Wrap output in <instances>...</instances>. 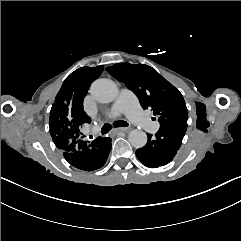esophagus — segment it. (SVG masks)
<instances>
[{"label":"esophagus","instance_id":"1","mask_svg":"<svg viewBox=\"0 0 241 241\" xmlns=\"http://www.w3.org/2000/svg\"><path fill=\"white\" fill-rule=\"evenodd\" d=\"M128 130H129L128 128L121 127V128H117V129L113 130V133L125 132V131H128Z\"/></svg>","mask_w":241,"mask_h":241}]
</instances>
